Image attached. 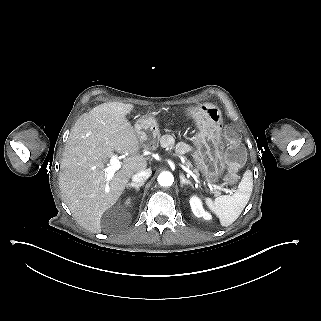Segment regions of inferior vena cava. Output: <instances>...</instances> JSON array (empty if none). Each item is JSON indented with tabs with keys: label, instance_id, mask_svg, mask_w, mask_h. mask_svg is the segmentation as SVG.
Wrapping results in <instances>:
<instances>
[{
	"label": "inferior vena cava",
	"instance_id": "1",
	"mask_svg": "<svg viewBox=\"0 0 321 321\" xmlns=\"http://www.w3.org/2000/svg\"><path fill=\"white\" fill-rule=\"evenodd\" d=\"M152 174L151 169H145L140 171L132 176V181L134 183H143L145 182Z\"/></svg>",
	"mask_w": 321,
	"mask_h": 321
}]
</instances>
